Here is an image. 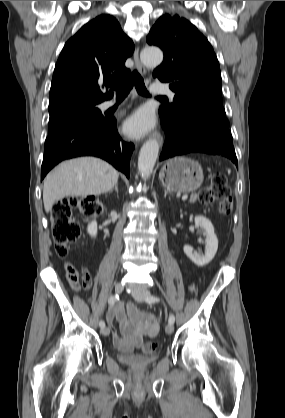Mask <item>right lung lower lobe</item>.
I'll use <instances>...</instances> for the list:
<instances>
[{
  "label": "right lung lower lobe",
  "instance_id": "98d812e1",
  "mask_svg": "<svg viewBox=\"0 0 285 418\" xmlns=\"http://www.w3.org/2000/svg\"><path fill=\"white\" fill-rule=\"evenodd\" d=\"M133 149L132 143L123 141L118 135L113 118L98 123L71 125L46 138L41 179L62 160L79 156L100 157L129 178Z\"/></svg>",
  "mask_w": 285,
  "mask_h": 418
}]
</instances>
